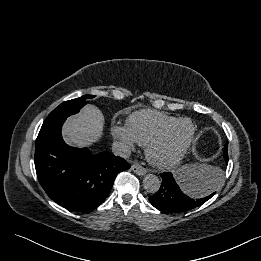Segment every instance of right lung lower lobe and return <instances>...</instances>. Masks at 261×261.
<instances>
[{
	"instance_id": "right-lung-lower-lobe-1",
	"label": "right lung lower lobe",
	"mask_w": 261,
	"mask_h": 261,
	"mask_svg": "<svg viewBox=\"0 0 261 261\" xmlns=\"http://www.w3.org/2000/svg\"><path fill=\"white\" fill-rule=\"evenodd\" d=\"M65 120L44 121L36 139V173L53 201L70 210L88 212L106 199L117 174L130 164L108 151L92 155L87 148L68 146L61 136Z\"/></svg>"
}]
</instances>
